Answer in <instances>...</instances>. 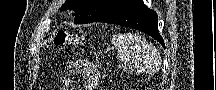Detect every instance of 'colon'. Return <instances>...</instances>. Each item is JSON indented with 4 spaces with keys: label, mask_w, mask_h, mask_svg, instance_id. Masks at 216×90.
Wrapping results in <instances>:
<instances>
[{
    "label": "colon",
    "mask_w": 216,
    "mask_h": 90,
    "mask_svg": "<svg viewBox=\"0 0 216 90\" xmlns=\"http://www.w3.org/2000/svg\"><path fill=\"white\" fill-rule=\"evenodd\" d=\"M54 42L58 46H69L76 42V37L67 31H59Z\"/></svg>",
    "instance_id": "obj_1"
}]
</instances>
